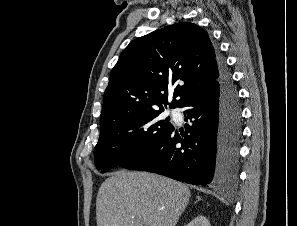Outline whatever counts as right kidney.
Returning <instances> with one entry per match:
<instances>
[{"mask_svg":"<svg viewBox=\"0 0 297 226\" xmlns=\"http://www.w3.org/2000/svg\"><path fill=\"white\" fill-rule=\"evenodd\" d=\"M186 226H211L208 219L202 215L193 219L188 225Z\"/></svg>","mask_w":297,"mask_h":226,"instance_id":"ca27d5eb","label":"right kidney"}]
</instances>
